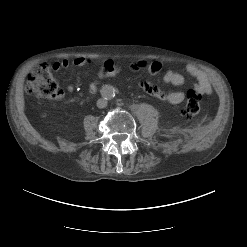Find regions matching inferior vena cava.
<instances>
[{"instance_id": "inferior-vena-cava-1", "label": "inferior vena cava", "mask_w": 247, "mask_h": 247, "mask_svg": "<svg viewBox=\"0 0 247 247\" xmlns=\"http://www.w3.org/2000/svg\"><path fill=\"white\" fill-rule=\"evenodd\" d=\"M107 106V100L104 98H100L97 100V107L98 108H105Z\"/></svg>"}]
</instances>
